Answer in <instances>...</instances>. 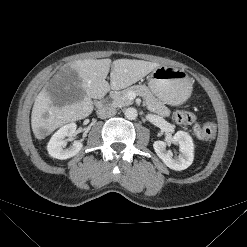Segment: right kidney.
Instances as JSON below:
<instances>
[{"label":"right kidney","instance_id":"1","mask_svg":"<svg viewBox=\"0 0 247 247\" xmlns=\"http://www.w3.org/2000/svg\"><path fill=\"white\" fill-rule=\"evenodd\" d=\"M76 130V124L70 123L61 127L54 135L51 137L47 150L50 156L64 160L75 156L83 147L80 141H74L69 148H65L67 144V137L71 138Z\"/></svg>","mask_w":247,"mask_h":247}]
</instances>
